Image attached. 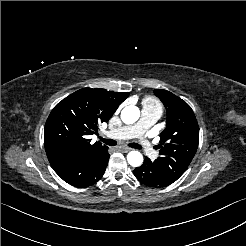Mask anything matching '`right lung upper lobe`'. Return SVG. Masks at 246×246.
<instances>
[{
  "instance_id": "right-lung-upper-lobe-1",
  "label": "right lung upper lobe",
  "mask_w": 246,
  "mask_h": 246,
  "mask_svg": "<svg viewBox=\"0 0 246 246\" xmlns=\"http://www.w3.org/2000/svg\"><path fill=\"white\" fill-rule=\"evenodd\" d=\"M129 93L83 88L59 102L51 111L44 129L48 159L60 155L82 156L105 148L91 143L99 123L107 122Z\"/></svg>"
}]
</instances>
